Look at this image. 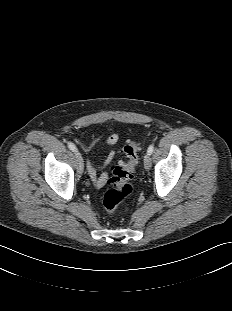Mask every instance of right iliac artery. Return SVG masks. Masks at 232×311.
I'll use <instances>...</instances> for the list:
<instances>
[{"mask_svg":"<svg viewBox=\"0 0 232 311\" xmlns=\"http://www.w3.org/2000/svg\"><path fill=\"white\" fill-rule=\"evenodd\" d=\"M68 147H69V149L72 150L73 152H77V148H76V146H75L73 143L69 142V143H68Z\"/></svg>","mask_w":232,"mask_h":311,"instance_id":"obj_1","label":"right iliac artery"}]
</instances>
